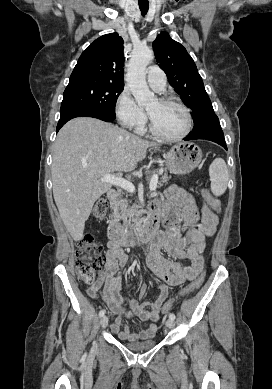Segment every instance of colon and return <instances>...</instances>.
Instances as JSON below:
<instances>
[{"label":"colon","mask_w":272,"mask_h":389,"mask_svg":"<svg viewBox=\"0 0 272 389\" xmlns=\"http://www.w3.org/2000/svg\"><path fill=\"white\" fill-rule=\"evenodd\" d=\"M203 196L210 204L211 208L215 212H219V202L209 193L208 190L203 191ZM108 209V203L105 199H99L93 208V216L97 219H101L105 216ZM76 273L79 279L87 284L94 285L96 281V275L105 263L103 255V246L96 241V239L86 234L77 241L76 244ZM204 280V276L201 275L192 282H190L186 288L181 292L180 296H188L194 293L200 288ZM175 304V300H168L164 303L162 311L167 313L172 310Z\"/></svg>","instance_id":"5ec220e1"}]
</instances>
